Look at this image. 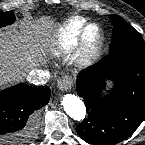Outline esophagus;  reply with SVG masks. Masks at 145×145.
I'll list each match as a JSON object with an SVG mask.
<instances>
[{
	"label": "esophagus",
	"instance_id": "34e87169",
	"mask_svg": "<svg viewBox=\"0 0 145 145\" xmlns=\"http://www.w3.org/2000/svg\"><path fill=\"white\" fill-rule=\"evenodd\" d=\"M73 87V81L71 77H63L58 81L57 88L60 91H67Z\"/></svg>",
	"mask_w": 145,
	"mask_h": 145
}]
</instances>
